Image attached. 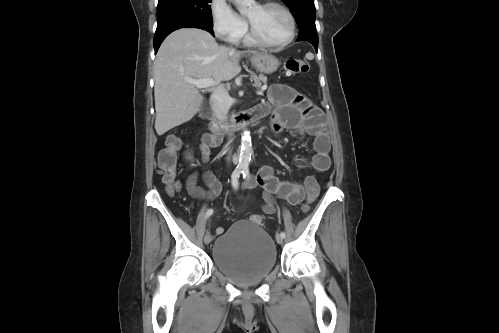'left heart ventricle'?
I'll return each mask as SVG.
<instances>
[{"mask_svg": "<svg viewBox=\"0 0 499 333\" xmlns=\"http://www.w3.org/2000/svg\"><path fill=\"white\" fill-rule=\"evenodd\" d=\"M245 15L257 32L267 41L280 42L289 35V19L279 8H263L255 4L248 9Z\"/></svg>", "mask_w": 499, "mask_h": 333, "instance_id": "1", "label": "left heart ventricle"}]
</instances>
